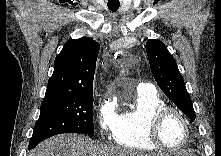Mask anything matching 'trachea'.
I'll use <instances>...</instances> for the list:
<instances>
[{
    "label": "trachea",
    "instance_id": "obj_1",
    "mask_svg": "<svg viewBox=\"0 0 221 156\" xmlns=\"http://www.w3.org/2000/svg\"><path fill=\"white\" fill-rule=\"evenodd\" d=\"M107 6L109 10L116 12L119 9L120 3L118 0H109Z\"/></svg>",
    "mask_w": 221,
    "mask_h": 156
}]
</instances>
